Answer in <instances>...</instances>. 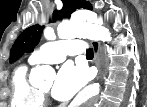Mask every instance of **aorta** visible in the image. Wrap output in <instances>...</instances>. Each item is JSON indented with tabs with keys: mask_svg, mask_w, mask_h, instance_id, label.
<instances>
[{
	"mask_svg": "<svg viewBox=\"0 0 147 107\" xmlns=\"http://www.w3.org/2000/svg\"><path fill=\"white\" fill-rule=\"evenodd\" d=\"M58 36L61 39H70L75 37L88 38L93 40H101L103 42L111 41V34L107 28L97 24L93 19L84 17H74L70 21H64L58 25ZM46 38H50L49 30L45 31ZM55 77V71L52 67L43 65L33 69L31 74V82L36 84L44 79ZM99 90V85H93L87 89L90 99L89 104L96 101V94Z\"/></svg>",
	"mask_w": 147,
	"mask_h": 107,
	"instance_id": "aorta-1",
	"label": "aorta"
}]
</instances>
